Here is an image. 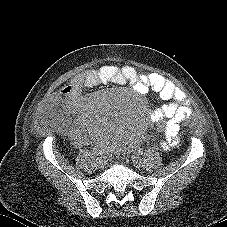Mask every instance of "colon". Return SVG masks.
<instances>
[{
	"label": "colon",
	"instance_id": "obj_1",
	"mask_svg": "<svg viewBox=\"0 0 227 227\" xmlns=\"http://www.w3.org/2000/svg\"><path fill=\"white\" fill-rule=\"evenodd\" d=\"M177 130L181 137H189L191 135V128L185 122H182L178 125Z\"/></svg>",
	"mask_w": 227,
	"mask_h": 227
}]
</instances>
